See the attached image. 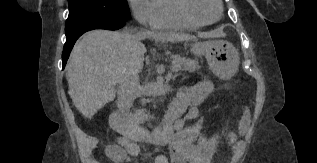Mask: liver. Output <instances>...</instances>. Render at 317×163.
Returning a JSON list of instances; mask_svg holds the SVG:
<instances>
[{
	"mask_svg": "<svg viewBox=\"0 0 317 163\" xmlns=\"http://www.w3.org/2000/svg\"><path fill=\"white\" fill-rule=\"evenodd\" d=\"M155 42H182L193 36L179 33L92 30L74 46L66 78L73 104L91 119L97 111L114 100L117 84L128 74L138 75L143 69V39Z\"/></svg>",
	"mask_w": 317,
	"mask_h": 163,
	"instance_id": "liver-1",
	"label": "liver"
}]
</instances>
